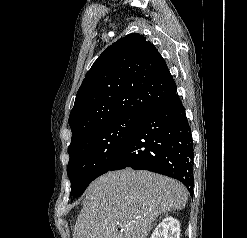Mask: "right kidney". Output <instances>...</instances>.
<instances>
[{
  "label": "right kidney",
  "mask_w": 247,
  "mask_h": 238,
  "mask_svg": "<svg viewBox=\"0 0 247 238\" xmlns=\"http://www.w3.org/2000/svg\"><path fill=\"white\" fill-rule=\"evenodd\" d=\"M150 238H180V223L173 217H166L154 229Z\"/></svg>",
  "instance_id": "1"
}]
</instances>
